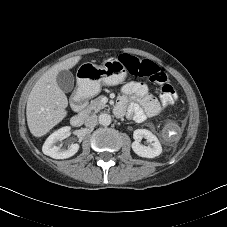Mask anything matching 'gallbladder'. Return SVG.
<instances>
[{
	"instance_id": "bac80fb5",
	"label": "gallbladder",
	"mask_w": 227,
	"mask_h": 227,
	"mask_svg": "<svg viewBox=\"0 0 227 227\" xmlns=\"http://www.w3.org/2000/svg\"><path fill=\"white\" fill-rule=\"evenodd\" d=\"M57 83L62 91L70 92L74 87V76L69 70H62L57 75Z\"/></svg>"
}]
</instances>
